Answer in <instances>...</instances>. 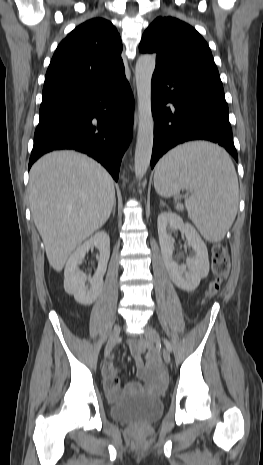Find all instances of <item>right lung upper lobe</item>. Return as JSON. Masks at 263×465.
I'll return each mask as SVG.
<instances>
[{
	"mask_svg": "<svg viewBox=\"0 0 263 465\" xmlns=\"http://www.w3.org/2000/svg\"><path fill=\"white\" fill-rule=\"evenodd\" d=\"M122 42L113 24L93 18L57 47L46 72L43 97L119 80L124 74Z\"/></svg>",
	"mask_w": 263,
	"mask_h": 465,
	"instance_id": "right-lung-upper-lobe-1",
	"label": "right lung upper lobe"
}]
</instances>
